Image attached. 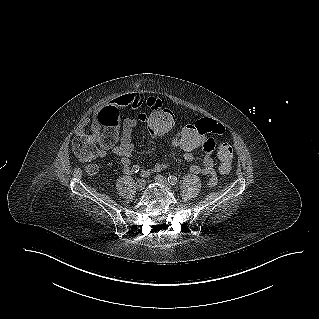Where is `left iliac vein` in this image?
I'll list each match as a JSON object with an SVG mask.
<instances>
[{
    "label": "left iliac vein",
    "mask_w": 319,
    "mask_h": 319,
    "mask_svg": "<svg viewBox=\"0 0 319 319\" xmlns=\"http://www.w3.org/2000/svg\"><path fill=\"white\" fill-rule=\"evenodd\" d=\"M155 181H156L158 184L163 185V186H165L166 188L170 189V185H169L168 181H167L166 178H164L163 176L157 175V176L155 177Z\"/></svg>",
    "instance_id": "obj_1"
}]
</instances>
